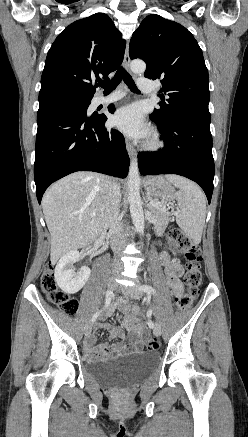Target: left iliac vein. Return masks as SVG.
I'll list each match as a JSON object with an SVG mask.
<instances>
[{
    "mask_svg": "<svg viewBox=\"0 0 248 437\" xmlns=\"http://www.w3.org/2000/svg\"><path fill=\"white\" fill-rule=\"evenodd\" d=\"M126 294H128L130 297L134 299H139L142 296V291L139 290V286L135 285L130 288L125 289ZM153 333L155 336L161 335V327L159 324H156L153 328Z\"/></svg>",
    "mask_w": 248,
    "mask_h": 437,
    "instance_id": "4c4485c4",
    "label": "left iliac vein"
}]
</instances>
